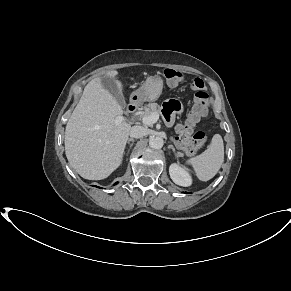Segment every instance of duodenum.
<instances>
[{"instance_id":"duodenum-1","label":"duodenum","mask_w":291,"mask_h":291,"mask_svg":"<svg viewBox=\"0 0 291 291\" xmlns=\"http://www.w3.org/2000/svg\"><path fill=\"white\" fill-rule=\"evenodd\" d=\"M128 110L131 111V112H134L136 110V106L134 103H130L128 105Z\"/></svg>"}]
</instances>
